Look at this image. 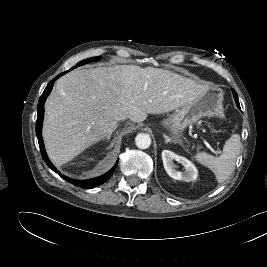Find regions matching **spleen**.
Listing matches in <instances>:
<instances>
[{"instance_id":"spleen-1","label":"spleen","mask_w":267,"mask_h":267,"mask_svg":"<svg viewBox=\"0 0 267 267\" xmlns=\"http://www.w3.org/2000/svg\"><path fill=\"white\" fill-rule=\"evenodd\" d=\"M241 146L240 136L238 134H233L225 142L223 152L219 157L200 152L195 156V159L201 165L211 169L215 174L217 182L222 183L233 173Z\"/></svg>"}]
</instances>
